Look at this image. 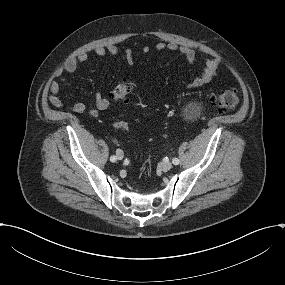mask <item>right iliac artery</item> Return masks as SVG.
Segmentation results:
<instances>
[{
  "label": "right iliac artery",
  "instance_id": "obj_1",
  "mask_svg": "<svg viewBox=\"0 0 285 285\" xmlns=\"http://www.w3.org/2000/svg\"><path fill=\"white\" fill-rule=\"evenodd\" d=\"M116 159H117V158H116V156H114V155L110 157V161H111V162H115Z\"/></svg>",
  "mask_w": 285,
  "mask_h": 285
}]
</instances>
